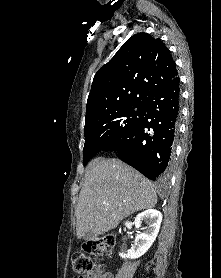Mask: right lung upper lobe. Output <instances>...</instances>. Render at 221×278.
Listing matches in <instances>:
<instances>
[{
	"mask_svg": "<svg viewBox=\"0 0 221 278\" xmlns=\"http://www.w3.org/2000/svg\"><path fill=\"white\" fill-rule=\"evenodd\" d=\"M176 64L160 39L138 33L129 38L94 76L86 121L138 102L177 76Z\"/></svg>",
	"mask_w": 221,
	"mask_h": 278,
	"instance_id": "1",
	"label": "right lung upper lobe"
}]
</instances>
